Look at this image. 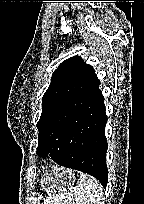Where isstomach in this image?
<instances>
[{
	"label": "stomach",
	"mask_w": 144,
	"mask_h": 204,
	"mask_svg": "<svg viewBox=\"0 0 144 204\" xmlns=\"http://www.w3.org/2000/svg\"><path fill=\"white\" fill-rule=\"evenodd\" d=\"M75 176L71 170L52 167L40 181L42 190L52 196L60 191L70 189L74 183Z\"/></svg>",
	"instance_id": "obj_1"
}]
</instances>
